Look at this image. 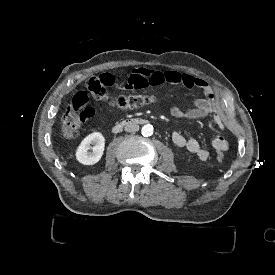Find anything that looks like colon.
<instances>
[{"label": "colon", "mask_w": 275, "mask_h": 275, "mask_svg": "<svg viewBox=\"0 0 275 275\" xmlns=\"http://www.w3.org/2000/svg\"><path fill=\"white\" fill-rule=\"evenodd\" d=\"M84 85L94 94V98L121 109L142 107L156 101V96L152 94L110 98L105 93L107 86L101 82L99 77H86ZM87 94L86 91H78L63 114L61 131L67 138L78 137L81 134L83 124L95 115V109L89 104ZM214 159L220 164L227 161L226 156L219 151L214 153Z\"/></svg>", "instance_id": "colon-1"}]
</instances>
